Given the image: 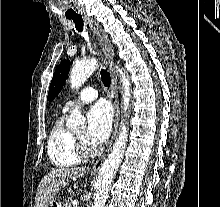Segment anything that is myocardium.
Instances as JSON below:
<instances>
[{
  "label": "myocardium",
  "mask_w": 220,
  "mask_h": 207,
  "mask_svg": "<svg viewBox=\"0 0 220 207\" xmlns=\"http://www.w3.org/2000/svg\"><path fill=\"white\" fill-rule=\"evenodd\" d=\"M73 146L76 155L80 159H88L97 154V150L93 147H89L86 142L78 138L73 134Z\"/></svg>",
  "instance_id": "myocardium-1"
}]
</instances>
